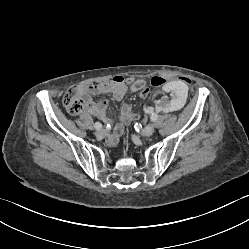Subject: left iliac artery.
I'll return each mask as SVG.
<instances>
[{
  "mask_svg": "<svg viewBox=\"0 0 249 249\" xmlns=\"http://www.w3.org/2000/svg\"><path fill=\"white\" fill-rule=\"evenodd\" d=\"M157 120V114L152 112L151 114V121L155 122Z\"/></svg>",
  "mask_w": 249,
  "mask_h": 249,
  "instance_id": "left-iliac-artery-1",
  "label": "left iliac artery"
}]
</instances>
